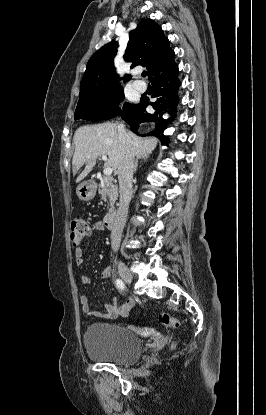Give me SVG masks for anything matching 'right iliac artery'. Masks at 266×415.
Here are the masks:
<instances>
[{"instance_id": "obj_1", "label": "right iliac artery", "mask_w": 266, "mask_h": 415, "mask_svg": "<svg viewBox=\"0 0 266 415\" xmlns=\"http://www.w3.org/2000/svg\"><path fill=\"white\" fill-rule=\"evenodd\" d=\"M116 286L121 290H124V288H125V284L121 279L116 280Z\"/></svg>"}]
</instances>
